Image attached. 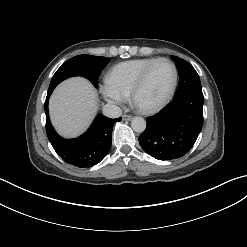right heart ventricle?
<instances>
[{
    "label": "right heart ventricle",
    "mask_w": 247,
    "mask_h": 247,
    "mask_svg": "<svg viewBox=\"0 0 247 247\" xmlns=\"http://www.w3.org/2000/svg\"><path fill=\"white\" fill-rule=\"evenodd\" d=\"M156 58H139L121 62L111 68L107 80L126 95L130 91L143 69Z\"/></svg>",
    "instance_id": "right-heart-ventricle-1"
}]
</instances>
